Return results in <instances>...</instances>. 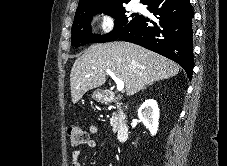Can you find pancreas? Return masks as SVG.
Masks as SVG:
<instances>
[{"instance_id": "1", "label": "pancreas", "mask_w": 227, "mask_h": 166, "mask_svg": "<svg viewBox=\"0 0 227 166\" xmlns=\"http://www.w3.org/2000/svg\"><path fill=\"white\" fill-rule=\"evenodd\" d=\"M117 112L112 114L110 118V124L113 127V131L116 132L119 125L124 122V114L119 106H117Z\"/></svg>"}]
</instances>
